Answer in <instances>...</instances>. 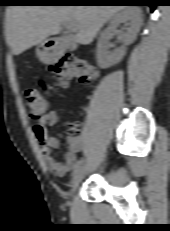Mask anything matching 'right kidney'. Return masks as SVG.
<instances>
[{
    "mask_svg": "<svg viewBox=\"0 0 170 231\" xmlns=\"http://www.w3.org/2000/svg\"><path fill=\"white\" fill-rule=\"evenodd\" d=\"M120 23H127L128 26L126 31L120 35L123 45L113 52H108L109 38ZM141 24L142 12L138 7H126L111 19L108 27L100 34L98 39L96 59L99 67L108 68L122 60L126 53V46L134 42Z\"/></svg>",
    "mask_w": 170,
    "mask_h": 231,
    "instance_id": "ca27d5eb",
    "label": "right kidney"
}]
</instances>
